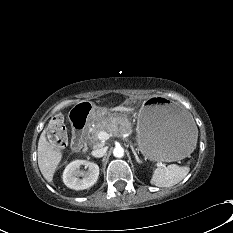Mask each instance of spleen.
<instances>
[{
	"mask_svg": "<svg viewBox=\"0 0 233 233\" xmlns=\"http://www.w3.org/2000/svg\"><path fill=\"white\" fill-rule=\"evenodd\" d=\"M189 172V167L176 164L162 166L155 169L151 184L157 187H171L179 183Z\"/></svg>",
	"mask_w": 233,
	"mask_h": 233,
	"instance_id": "3e777b00",
	"label": "spleen"
}]
</instances>
